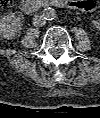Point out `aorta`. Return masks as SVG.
I'll use <instances>...</instances> for the list:
<instances>
[{
  "label": "aorta",
  "instance_id": "obj_1",
  "mask_svg": "<svg viewBox=\"0 0 100 118\" xmlns=\"http://www.w3.org/2000/svg\"><path fill=\"white\" fill-rule=\"evenodd\" d=\"M45 20H54L56 17H57V12L54 8H51V7H48V8H45L42 12Z\"/></svg>",
  "mask_w": 100,
  "mask_h": 118
}]
</instances>
